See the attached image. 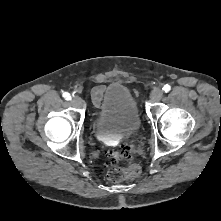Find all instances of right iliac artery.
<instances>
[{"instance_id":"82829eb1","label":"right iliac artery","mask_w":221,"mask_h":221,"mask_svg":"<svg viewBox=\"0 0 221 221\" xmlns=\"http://www.w3.org/2000/svg\"><path fill=\"white\" fill-rule=\"evenodd\" d=\"M63 97H64L66 100H70V99H71V95H70V93H68V92H64V93H63Z\"/></svg>"}]
</instances>
